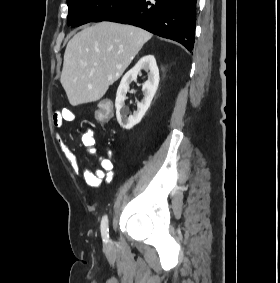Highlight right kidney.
<instances>
[{"label": "right kidney", "instance_id": "1", "mask_svg": "<svg viewBox=\"0 0 280 283\" xmlns=\"http://www.w3.org/2000/svg\"><path fill=\"white\" fill-rule=\"evenodd\" d=\"M142 69L148 72V80L142 86L144 98L137 104V111H134L133 115L128 116L129 110L125 107L124 103L126 94L129 90L130 83L137 79V75ZM159 80V69L153 55L142 57L137 64L123 76L115 100L116 117L122 128L129 130L141 121L158 89Z\"/></svg>", "mask_w": 280, "mask_h": 283}]
</instances>
